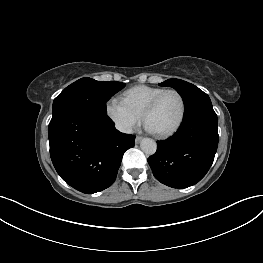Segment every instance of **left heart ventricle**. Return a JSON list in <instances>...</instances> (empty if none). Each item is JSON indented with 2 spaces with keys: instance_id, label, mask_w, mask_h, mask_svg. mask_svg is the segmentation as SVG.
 Wrapping results in <instances>:
<instances>
[{
  "instance_id": "1",
  "label": "left heart ventricle",
  "mask_w": 263,
  "mask_h": 263,
  "mask_svg": "<svg viewBox=\"0 0 263 263\" xmlns=\"http://www.w3.org/2000/svg\"><path fill=\"white\" fill-rule=\"evenodd\" d=\"M181 113V102L177 94L167 93L147 118V125L154 132H165L178 121Z\"/></svg>"
}]
</instances>
